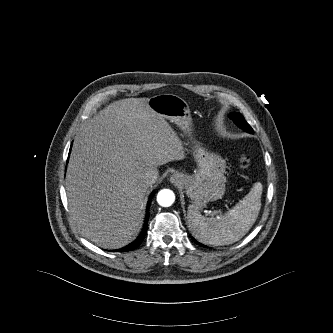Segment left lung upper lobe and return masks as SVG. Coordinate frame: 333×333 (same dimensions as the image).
Masks as SVG:
<instances>
[{"label":"left lung upper lobe","mask_w":333,"mask_h":333,"mask_svg":"<svg viewBox=\"0 0 333 333\" xmlns=\"http://www.w3.org/2000/svg\"><path fill=\"white\" fill-rule=\"evenodd\" d=\"M229 117L241 129H243V130H245V131H247L249 133L253 132L251 126L246 122V120L244 119V117L240 113H236V112L231 113Z\"/></svg>","instance_id":"1"}]
</instances>
